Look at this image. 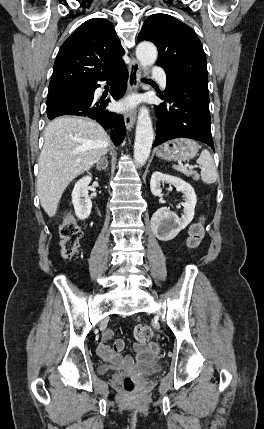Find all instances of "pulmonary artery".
<instances>
[{
	"label": "pulmonary artery",
	"mask_w": 264,
	"mask_h": 429,
	"mask_svg": "<svg viewBox=\"0 0 264 429\" xmlns=\"http://www.w3.org/2000/svg\"><path fill=\"white\" fill-rule=\"evenodd\" d=\"M151 74L159 81L162 87H166V74L161 68L153 67L151 70Z\"/></svg>",
	"instance_id": "pulmonary-artery-1"
}]
</instances>
